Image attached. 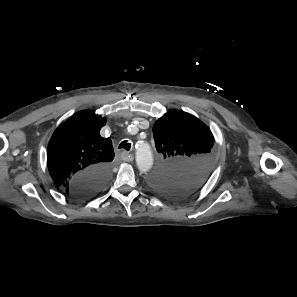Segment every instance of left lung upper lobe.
<instances>
[{
	"label": "left lung upper lobe",
	"instance_id": "5c2ea615",
	"mask_svg": "<svg viewBox=\"0 0 297 297\" xmlns=\"http://www.w3.org/2000/svg\"><path fill=\"white\" fill-rule=\"evenodd\" d=\"M159 165L150 179L157 192L182 197L199 189L211 173L214 137L196 117L174 110L153 126Z\"/></svg>",
	"mask_w": 297,
	"mask_h": 297
}]
</instances>
